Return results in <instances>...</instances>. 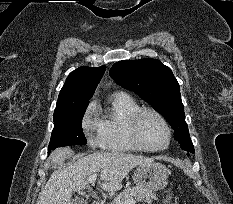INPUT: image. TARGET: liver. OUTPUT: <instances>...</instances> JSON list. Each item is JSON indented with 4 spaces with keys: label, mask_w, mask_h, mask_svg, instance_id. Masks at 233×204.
<instances>
[{
    "label": "liver",
    "mask_w": 233,
    "mask_h": 204,
    "mask_svg": "<svg viewBox=\"0 0 233 204\" xmlns=\"http://www.w3.org/2000/svg\"><path fill=\"white\" fill-rule=\"evenodd\" d=\"M74 152L68 148L54 150L49 157L51 165L62 166ZM153 159L119 152H97L81 157L73 164L55 170L41 190L37 204H72L73 191H81L87 185L86 179L100 171V186L107 191H117L123 179L136 166Z\"/></svg>",
    "instance_id": "6515ba94"
}]
</instances>
